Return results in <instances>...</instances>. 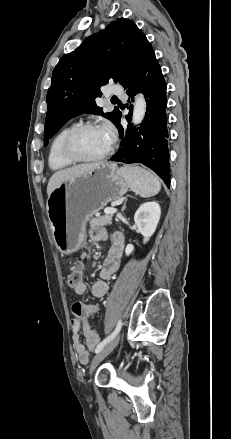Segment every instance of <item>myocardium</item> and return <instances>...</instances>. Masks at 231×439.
<instances>
[{"mask_svg":"<svg viewBox=\"0 0 231 439\" xmlns=\"http://www.w3.org/2000/svg\"><path fill=\"white\" fill-rule=\"evenodd\" d=\"M94 128H101V126L93 122H85L72 126L66 132V134L64 135L61 141V153L64 156V158H66L68 161L72 163H93L106 159L114 149V139L110 143L107 150L101 155L96 157H90V158L82 157L78 155L77 152L75 151L74 148L75 137L84 130L94 129Z\"/></svg>","mask_w":231,"mask_h":439,"instance_id":"myocardium-1","label":"myocardium"}]
</instances>
